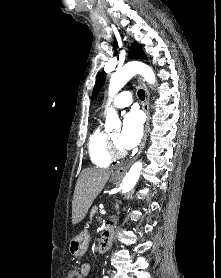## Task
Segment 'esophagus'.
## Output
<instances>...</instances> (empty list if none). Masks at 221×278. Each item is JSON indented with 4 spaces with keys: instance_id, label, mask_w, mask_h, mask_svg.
<instances>
[{
    "instance_id": "obj_1",
    "label": "esophagus",
    "mask_w": 221,
    "mask_h": 278,
    "mask_svg": "<svg viewBox=\"0 0 221 278\" xmlns=\"http://www.w3.org/2000/svg\"><path fill=\"white\" fill-rule=\"evenodd\" d=\"M140 82L142 83V86H143L144 91H145V100H144V103H143V110H144V112L146 113V116H147L146 123H145V128H144V135H143V138H142V142L140 144L139 151H138L137 155L135 156V158L131 162L117 168L114 172V175H116V176H123L127 172L131 163L141 154V152H142V150L145 146L146 140H147L148 129H149V121H150L149 91H148V88H147L145 82L142 80V78H140Z\"/></svg>"
}]
</instances>
